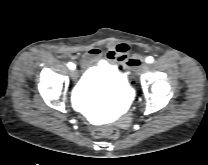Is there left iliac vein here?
Returning a JSON list of instances; mask_svg holds the SVG:
<instances>
[{
    "mask_svg": "<svg viewBox=\"0 0 208 165\" xmlns=\"http://www.w3.org/2000/svg\"><path fill=\"white\" fill-rule=\"evenodd\" d=\"M148 64L147 63H142L139 67H138V73L141 74L143 72H145L148 69Z\"/></svg>",
    "mask_w": 208,
    "mask_h": 165,
    "instance_id": "4c4485c4",
    "label": "left iliac vein"
}]
</instances>
